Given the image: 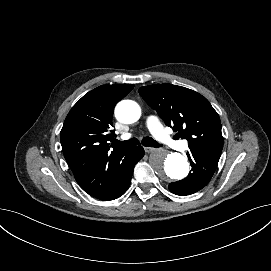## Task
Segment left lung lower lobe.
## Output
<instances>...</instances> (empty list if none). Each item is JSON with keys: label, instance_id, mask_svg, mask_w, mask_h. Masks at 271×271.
Segmentation results:
<instances>
[{"label": "left lung lower lobe", "instance_id": "0a47b994", "mask_svg": "<svg viewBox=\"0 0 271 271\" xmlns=\"http://www.w3.org/2000/svg\"><path fill=\"white\" fill-rule=\"evenodd\" d=\"M220 155H214L206 148L190 150L187 156L191 162V172L183 180L170 183L169 190L176 195L186 196L204 188L217 168Z\"/></svg>", "mask_w": 271, "mask_h": 271}]
</instances>
